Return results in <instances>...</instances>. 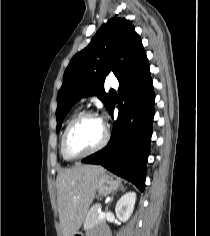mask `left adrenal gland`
<instances>
[{"label":"left adrenal gland","mask_w":210,"mask_h":236,"mask_svg":"<svg viewBox=\"0 0 210 236\" xmlns=\"http://www.w3.org/2000/svg\"><path fill=\"white\" fill-rule=\"evenodd\" d=\"M121 191H125V188H124L123 186L121 187ZM110 202H112V199H111ZM109 205H110V203H109L108 206L106 207L107 209H108Z\"/></svg>","instance_id":"left-adrenal-gland-1"}]
</instances>
